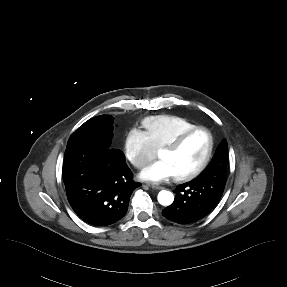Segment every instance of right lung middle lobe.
Here are the masks:
<instances>
[{
	"label": "right lung middle lobe",
	"mask_w": 287,
	"mask_h": 287,
	"mask_svg": "<svg viewBox=\"0 0 287 287\" xmlns=\"http://www.w3.org/2000/svg\"><path fill=\"white\" fill-rule=\"evenodd\" d=\"M113 120L110 115H101L88 120L71 135L67 145L83 140H97L109 146L113 138Z\"/></svg>",
	"instance_id": "right-lung-middle-lobe-1"
}]
</instances>
